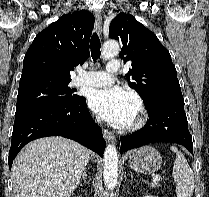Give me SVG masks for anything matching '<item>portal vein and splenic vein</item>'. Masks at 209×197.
Wrapping results in <instances>:
<instances>
[{
  "instance_id": "18ae733b",
  "label": "portal vein and splenic vein",
  "mask_w": 209,
  "mask_h": 197,
  "mask_svg": "<svg viewBox=\"0 0 209 197\" xmlns=\"http://www.w3.org/2000/svg\"><path fill=\"white\" fill-rule=\"evenodd\" d=\"M159 180H160V175H155V176L153 177V182H154V183L158 182Z\"/></svg>"
}]
</instances>
